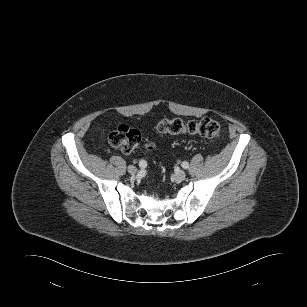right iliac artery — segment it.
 Here are the masks:
<instances>
[{
	"instance_id": "obj_1",
	"label": "right iliac artery",
	"mask_w": 307,
	"mask_h": 307,
	"mask_svg": "<svg viewBox=\"0 0 307 307\" xmlns=\"http://www.w3.org/2000/svg\"><path fill=\"white\" fill-rule=\"evenodd\" d=\"M146 166H147V162H146L145 160H141V161L139 162V167H140L141 169H144Z\"/></svg>"
}]
</instances>
